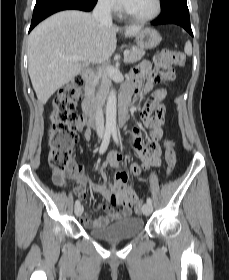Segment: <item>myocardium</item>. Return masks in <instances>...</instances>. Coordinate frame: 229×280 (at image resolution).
I'll return each instance as SVG.
<instances>
[{
  "instance_id": "1",
  "label": "myocardium",
  "mask_w": 229,
  "mask_h": 280,
  "mask_svg": "<svg viewBox=\"0 0 229 280\" xmlns=\"http://www.w3.org/2000/svg\"><path fill=\"white\" fill-rule=\"evenodd\" d=\"M122 12L129 19L138 22V23H147L155 18H157L162 12V1L154 0V8L153 10L145 15H135L126 10L125 7L122 8Z\"/></svg>"
}]
</instances>
